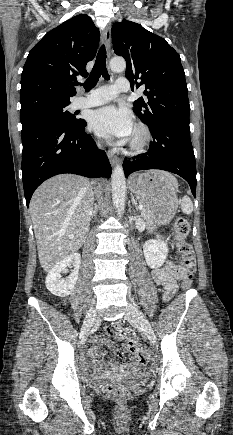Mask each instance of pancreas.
Wrapping results in <instances>:
<instances>
[{"mask_svg":"<svg viewBox=\"0 0 233 435\" xmlns=\"http://www.w3.org/2000/svg\"><path fill=\"white\" fill-rule=\"evenodd\" d=\"M142 205L144 207L143 209H141V217L146 221L149 228H153L154 224L156 223L155 216L144 202L142 203Z\"/></svg>","mask_w":233,"mask_h":435,"instance_id":"cf45deb5","label":"pancreas"}]
</instances>
